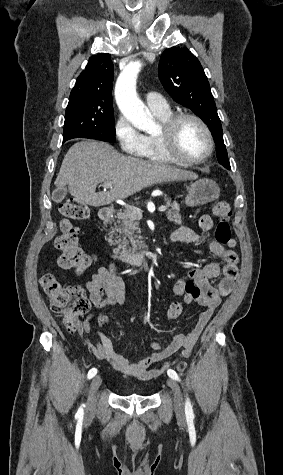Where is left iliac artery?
Segmentation results:
<instances>
[{
	"mask_svg": "<svg viewBox=\"0 0 283 475\" xmlns=\"http://www.w3.org/2000/svg\"><path fill=\"white\" fill-rule=\"evenodd\" d=\"M167 374H168V376L171 377L172 379L177 380V381H180V379H179L177 373H176L174 370L169 369V370L167 371ZM185 413H186V416H193V415H194V414H193L192 405H191V402H190L189 398H187L186 403H185Z\"/></svg>",
	"mask_w": 283,
	"mask_h": 475,
	"instance_id": "obj_1",
	"label": "left iliac artery"
}]
</instances>
